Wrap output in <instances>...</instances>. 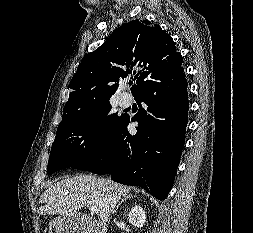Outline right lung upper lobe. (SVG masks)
Masks as SVG:
<instances>
[{
    "instance_id": "cb5924a9",
    "label": "right lung upper lobe",
    "mask_w": 253,
    "mask_h": 233,
    "mask_svg": "<svg viewBox=\"0 0 253 233\" xmlns=\"http://www.w3.org/2000/svg\"><path fill=\"white\" fill-rule=\"evenodd\" d=\"M175 42L159 25L132 20L118 27L95 51L87 54L70 82L63 118L109 101L119 80L134 75L135 96L152 80L182 65Z\"/></svg>"
}]
</instances>
